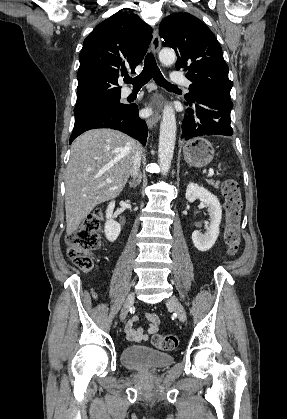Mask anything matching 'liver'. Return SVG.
<instances>
[{"label":"liver","mask_w":287,"mask_h":419,"mask_svg":"<svg viewBox=\"0 0 287 419\" xmlns=\"http://www.w3.org/2000/svg\"><path fill=\"white\" fill-rule=\"evenodd\" d=\"M138 148L134 139L112 129H94L76 138L65 177L67 235L98 204L122 192Z\"/></svg>","instance_id":"1"}]
</instances>
